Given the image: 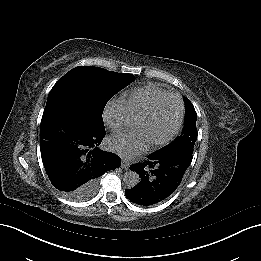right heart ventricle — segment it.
<instances>
[{
	"mask_svg": "<svg viewBox=\"0 0 261 261\" xmlns=\"http://www.w3.org/2000/svg\"><path fill=\"white\" fill-rule=\"evenodd\" d=\"M170 93L155 85L135 91L124 103L133 115H144L167 99Z\"/></svg>",
	"mask_w": 261,
	"mask_h": 261,
	"instance_id": "obj_1",
	"label": "right heart ventricle"
}]
</instances>
